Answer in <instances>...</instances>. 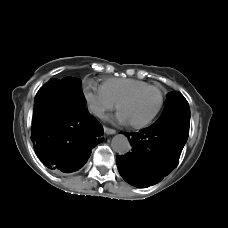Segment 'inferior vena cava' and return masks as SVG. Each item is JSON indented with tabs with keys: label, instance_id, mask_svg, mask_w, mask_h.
<instances>
[{
	"label": "inferior vena cava",
	"instance_id": "602c4592",
	"mask_svg": "<svg viewBox=\"0 0 228 228\" xmlns=\"http://www.w3.org/2000/svg\"><path fill=\"white\" fill-rule=\"evenodd\" d=\"M90 113L95 114L98 117H102L104 114V109L98 105L91 104L89 106Z\"/></svg>",
	"mask_w": 228,
	"mask_h": 228
}]
</instances>
